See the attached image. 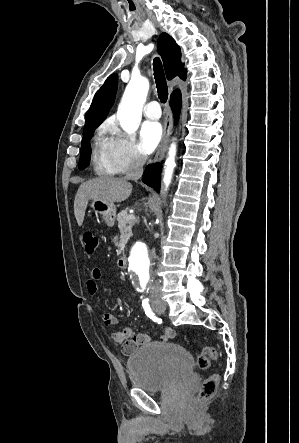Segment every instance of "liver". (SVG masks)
<instances>
[{"label":"liver","mask_w":299,"mask_h":443,"mask_svg":"<svg viewBox=\"0 0 299 443\" xmlns=\"http://www.w3.org/2000/svg\"><path fill=\"white\" fill-rule=\"evenodd\" d=\"M132 184L125 178L102 177L82 183L74 200V215L78 226H82L88 202L103 199L110 203H120L129 198Z\"/></svg>","instance_id":"1"}]
</instances>
